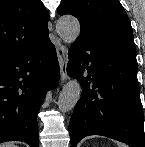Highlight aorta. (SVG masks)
Here are the masks:
<instances>
[{
    "instance_id": "aorta-1",
    "label": "aorta",
    "mask_w": 145,
    "mask_h": 147,
    "mask_svg": "<svg viewBox=\"0 0 145 147\" xmlns=\"http://www.w3.org/2000/svg\"><path fill=\"white\" fill-rule=\"evenodd\" d=\"M60 38L68 44L76 41L80 34L79 21L73 16H63L57 22ZM81 96V86L75 79L69 80L63 87L58 98V108L62 112L72 110Z\"/></svg>"
}]
</instances>
